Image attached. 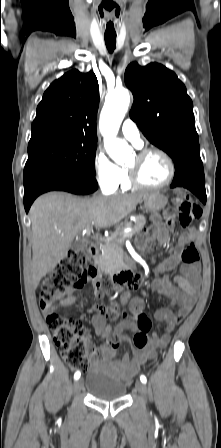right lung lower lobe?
Returning <instances> with one entry per match:
<instances>
[{"mask_svg": "<svg viewBox=\"0 0 221 448\" xmlns=\"http://www.w3.org/2000/svg\"><path fill=\"white\" fill-rule=\"evenodd\" d=\"M23 182L26 212L36 197L42 193L60 190L73 194H89L98 188L95 178L76 175L47 165L24 168Z\"/></svg>", "mask_w": 221, "mask_h": 448, "instance_id": "right-lung-lower-lobe-1", "label": "right lung lower lobe"}]
</instances>
